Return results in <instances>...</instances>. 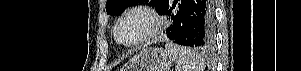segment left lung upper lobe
I'll use <instances>...</instances> for the list:
<instances>
[{"label": "left lung upper lobe", "instance_id": "obj_1", "mask_svg": "<svg viewBox=\"0 0 301 71\" xmlns=\"http://www.w3.org/2000/svg\"><path fill=\"white\" fill-rule=\"evenodd\" d=\"M167 0H107L106 11L110 15H120L127 7L135 3L154 5L160 12Z\"/></svg>", "mask_w": 301, "mask_h": 71}]
</instances>
